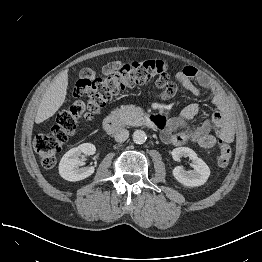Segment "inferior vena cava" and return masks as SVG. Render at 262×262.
I'll use <instances>...</instances> for the list:
<instances>
[{"label":"inferior vena cava","instance_id":"obj_1","mask_svg":"<svg viewBox=\"0 0 262 262\" xmlns=\"http://www.w3.org/2000/svg\"><path fill=\"white\" fill-rule=\"evenodd\" d=\"M129 136V131L127 129H121L115 134V140L117 142H124Z\"/></svg>","mask_w":262,"mask_h":262}]
</instances>
